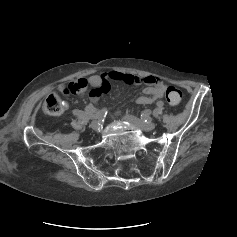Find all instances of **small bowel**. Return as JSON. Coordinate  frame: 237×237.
<instances>
[{
	"label": "small bowel",
	"instance_id": "1",
	"mask_svg": "<svg viewBox=\"0 0 237 237\" xmlns=\"http://www.w3.org/2000/svg\"><path fill=\"white\" fill-rule=\"evenodd\" d=\"M112 81H121L127 85L144 84V95L137 99L139 104H150L163 97L166 85L164 81L156 76H136L118 71H106L100 75H92L86 78L69 82L59 87L63 93L77 94L89 89L91 103L86 107V112L93 114L102 95L109 93ZM68 108V104H64ZM120 112L117 113V115Z\"/></svg>",
	"mask_w": 237,
	"mask_h": 237
}]
</instances>
